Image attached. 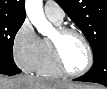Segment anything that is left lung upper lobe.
Returning a JSON list of instances; mask_svg holds the SVG:
<instances>
[{
    "mask_svg": "<svg viewBox=\"0 0 107 89\" xmlns=\"http://www.w3.org/2000/svg\"><path fill=\"white\" fill-rule=\"evenodd\" d=\"M88 39L94 56L107 49V0H55Z\"/></svg>",
    "mask_w": 107,
    "mask_h": 89,
    "instance_id": "left-lung-upper-lobe-1",
    "label": "left lung upper lobe"
}]
</instances>
